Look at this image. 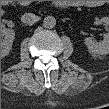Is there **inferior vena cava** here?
<instances>
[{
  "mask_svg": "<svg viewBox=\"0 0 109 109\" xmlns=\"http://www.w3.org/2000/svg\"><path fill=\"white\" fill-rule=\"evenodd\" d=\"M36 19V15L32 14V13H25L22 17H21V21L23 23H30L33 20Z\"/></svg>",
  "mask_w": 109,
  "mask_h": 109,
  "instance_id": "obj_1",
  "label": "inferior vena cava"
}]
</instances>
